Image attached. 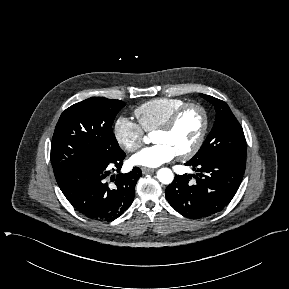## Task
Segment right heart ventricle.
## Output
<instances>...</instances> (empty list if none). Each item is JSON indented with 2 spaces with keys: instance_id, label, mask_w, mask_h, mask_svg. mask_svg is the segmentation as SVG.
<instances>
[{
  "instance_id": "1",
  "label": "right heart ventricle",
  "mask_w": 289,
  "mask_h": 289,
  "mask_svg": "<svg viewBox=\"0 0 289 289\" xmlns=\"http://www.w3.org/2000/svg\"><path fill=\"white\" fill-rule=\"evenodd\" d=\"M187 103L181 98H156L135 109L141 128L146 132L155 131L179 107Z\"/></svg>"
}]
</instances>
